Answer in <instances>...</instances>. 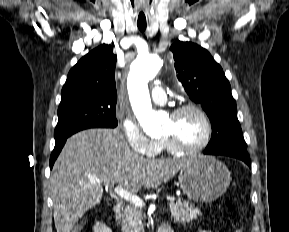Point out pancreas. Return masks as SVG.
Listing matches in <instances>:
<instances>
[{"label": "pancreas", "instance_id": "obj_1", "mask_svg": "<svg viewBox=\"0 0 289 232\" xmlns=\"http://www.w3.org/2000/svg\"><path fill=\"white\" fill-rule=\"evenodd\" d=\"M170 212L174 221L181 223H189L200 214L198 208L180 200L170 204ZM142 221V210L133 204L128 205L121 215V230L122 232H144Z\"/></svg>", "mask_w": 289, "mask_h": 232}]
</instances>
